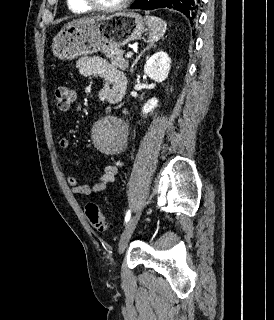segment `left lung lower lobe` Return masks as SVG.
Here are the masks:
<instances>
[{"label":"left lung lower lobe","instance_id":"left-lung-lower-lobe-1","mask_svg":"<svg viewBox=\"0 0 274 320\" xmlns=\"http://www.w3.org/2000/svg\"><path fill=\"white\" fill-rule=\"evenodd\" d=\"M200 0H136L131 9L153 10L171 8L182 12L192 24L197 16Z\"/></svg>","mask_w":274,"mask_h":320}]
</instances>
